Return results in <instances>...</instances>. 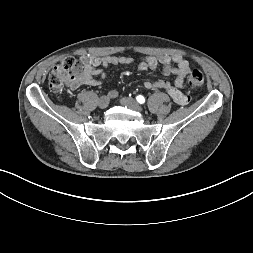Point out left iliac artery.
Returning <instances> with one entry per match:
<instances>
[{
    "mask_svg": "<svg viewBox=\"0 0 253 253\" xmlns=\"http://www.w3.org/2000/svg\"><path fill=\"white\" fill-rule=\"evenodd\" d=\"M136 99H137V101L139 102V103H144L145 102V98L142 96V95H138L137 97H136Z\"/></svg>",
    "mask_w": 253,
    "mask_h": 253,
    "instance_id": "obj_1",
    "label": "left iliac artery"
}]
</instances>
